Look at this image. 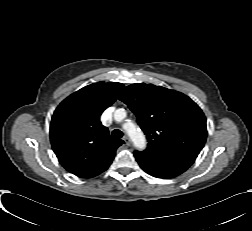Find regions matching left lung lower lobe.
Here are the masks:
<instances>
[{"mask_svg": "<svg viewBox=\"0 0 252 231\" xmlns=\"http://www.w3.org/2000/svg\"><path fill=\"white\" fill-rule=\"evenodd\" d=\"M140 167L148 174L158 178H172L182 174L195 159L177 154H156L134 152Z\"/></svg>", "mask_w": 252, "mask_h": 231, "instance_id": "1", "label": "left lung lower lobe"}]
</instances>
